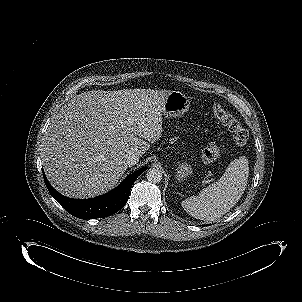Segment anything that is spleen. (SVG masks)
Wrapping results in <instances>:
<instances>
[{"instance_id": "3e777b00", "label": "spleen", "mask_w": 302, "mask_h": 302, "mask_svg": "<svg viewBox=\"0 0 302 302\" xmlns=\"http://www.w3.org/2000/svg\"><path fill=\"white\" fill-rule=\"evenodd\" d=\"M248 173L247 159H235L217 182L202 189L197 196L186 198L181 205L196 219L215 221L240 200L247 186Z\"/></svg>"}]
</instances>
